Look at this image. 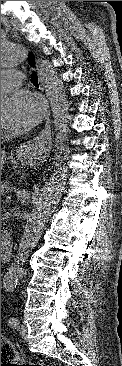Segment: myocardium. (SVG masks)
I'll return each mask as SVG.
<instances>
[{
    "instance_id": "obj_1",
    "label": "myocardium",
    "mask_w": 122,
    "mask_h": 366,
    "mask_svg": "<svg viewBox=\"0 0 122 366\" xmlns=\"http://www.w3.org/2000/svg\"><path fill=\"white\" fill-rule=\"evenodd\" d=\"M4 133V131L2 130V128H1V135Z\"/></svg>"
}]
</instances>
